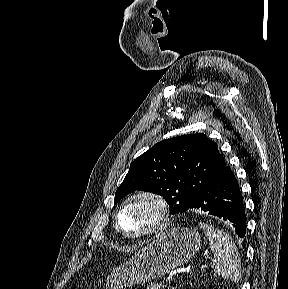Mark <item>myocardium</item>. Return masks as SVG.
Returning a JSON list of instances; mask_svg holds the SVG:
<instances>
[{
  "mask_svg": "<svg viewBox=\"0 0 288 289\" xmlns=\"http://www.w3.org/2000/svg\"><path fill=\"white\" fill-rule=\"evenodd\" d=\"M138 199H146V200L153 202L155 206L157 207L158 216L155 222L150 227L139 232L129 233L122 229L120 225V215L127 205H129L130 203ZM169 213H170L169 205L163 196L152 191H146V190L139 191L130 195L119 206V208L117 209L115 213V219H114L115 227L122 236L131 238V239H139V238L154 236V235L160 234L168 227Z\"/></svg>",
  "mask_w": 288,
  "mask_h": 289,
  "instance_id": "f54148a6",
  "label": "myocardium"
}]
</instances>
